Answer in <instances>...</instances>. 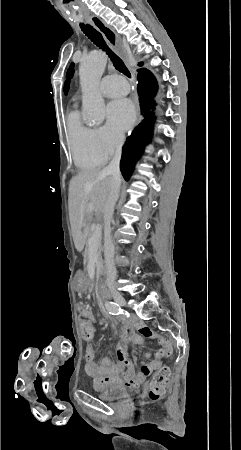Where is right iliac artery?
Here are the masks:
<instances>
[{"instance_id": "obj_1", "label": "right iliac artery", "mask_w": 241, "mask_h": 450, "mask_svg": "<svg viewBox=\"0 0 241 450\" xmlns=\"http://www.w3.org/2000/svg\"><path fill=\"white\" fill-rule=\"evenodd\" d=\"M106 308H107L108 312L112 315H119L121 313L120 306L115 302H107Z\"/></svg>"}]
</instances>
